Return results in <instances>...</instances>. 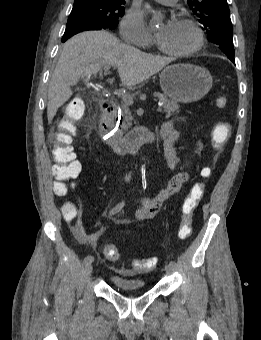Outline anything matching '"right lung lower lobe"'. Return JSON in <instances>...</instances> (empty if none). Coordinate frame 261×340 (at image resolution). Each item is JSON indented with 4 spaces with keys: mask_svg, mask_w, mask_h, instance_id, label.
I'll return each mask as SVG.
<instances>
[{
    "mask_svg": "<svg viewBox=\"0 0 261 340\" xmlns=\"http://www.w3.org/2000/svg\"><path fill=\"white\" fill-rule=\"evenodd\" d=\"M106 29L103 28L101 25L87 20V19H73L67 22L66 29L64 35L62 37V42H65L71 36L87 30H101Z\"/></svg>",
    "mask_w": 261,
    "mask_h": 340,
    "instance_id": "obj_1",
    "label": "right lung lower lobe"
}]
</instances>
